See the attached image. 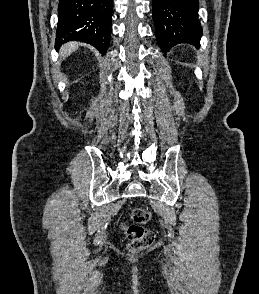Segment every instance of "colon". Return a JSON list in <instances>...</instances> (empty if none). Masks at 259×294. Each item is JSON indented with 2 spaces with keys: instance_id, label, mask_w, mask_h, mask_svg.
<instances>
[{
  "instance_id": "obj_1",
  "label": "colon",
  "mask_w": 259,
  "mask_h": 294,
  "mask_svg": "<svg viewBox=\"0 0 259 294\" xmlns=\"http://www.w3.org/2000/svg\"><path fill=\"white\" fill-rule=\"evenodd\" d=\"M131 224L123 225L128 240V248L131 251H139L150 247L154 242V232L145 227L151 218V213L143 207H135L131 210Z\"/></svg>"
}]
</instances>
